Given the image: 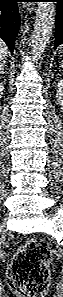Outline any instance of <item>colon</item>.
<instances>
[{"label": "colon", "mask_w": 63, "mask_h": 297, "mask_svg": "<svg viewBox=\"0 0 63 297\" xmlns=\"http://www.w3.org/2000/svg\"><path fill=\"white\" fill-rule=\"evenodd\" d=\"M48 245L36 238L28 239L16 252L9 271V284L22 297H42L50 284Z\"/></svg>", "instance_id": "obj_1"}]
</instances>
